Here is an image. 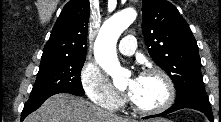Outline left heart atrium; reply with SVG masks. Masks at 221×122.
Listing matches in <instances>:
<instances>
[{
	"label": "left heart atrium",
	"mask_w": 221,
	"mask_h": 122,
	"mask_svg": "<svg viewBox=\"0 0 221 122\" xmlns=\"http://www.w3.org/2000/svg\"><path fill=\"white\" fill-rule=\"evenodd\" d=\"M137 79H138V77L134 78V80H137Z\"/></svg>",
	"instance_id": "obj_1"
}]
</instances>
